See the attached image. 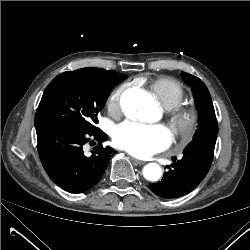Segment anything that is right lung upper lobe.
I'll use <instances>...</instances> for the list:
<instances>
[{"label": "right lung upper lobe", "mask_w": 250, "mask_h": 250, "mask_svg": "<svg viewBox=\"0 0 250 250\" xmlns=\"http://www.w3.org/2000/svg\"><path fill=\"white\" fill-rule=\"evenodd\" d=\"M84 69H100V68H84Z\"/></svg>", "instance_id": "right-lung-upper-lobe-1"}]
</instances>
